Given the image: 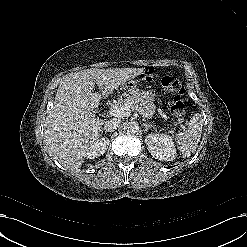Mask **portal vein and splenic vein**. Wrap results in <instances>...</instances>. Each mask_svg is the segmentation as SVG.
<instances>
[{"label": "portal vein and splenic vein", "mask_w": 247, "mask_h": 247, "mask_svg": "<svg viewBox=\"0 0 247 247\" xmlns=\"http://www.w3.org/2000/svg\"><path fill=\"white\" fill-rule=\"evenodd\" d=\"M130 112H131V107L129 105H123V106L115 105L112 106L109 110V113L112 116L120 117V118L127 116ZM182 128L184 129L185 126H183Z\"/></svg>", "instance_id": "obj_1"}]
</instances>
